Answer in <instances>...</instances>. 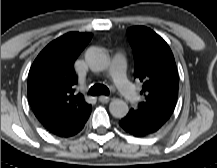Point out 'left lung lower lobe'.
Listing matches in <instances>:
<instances>
[{
  "mask_svg": "<svg viewBox=\"0 0 217 168\" xmlns=\"http://www.w3.org/2000/svg\"><path fill=\"white\" fill-rule=\"evenodd\" d=\"M120 126L135 137H144L157 132L164 124L139 117L132 111L120 120Z\"/></svg>",
  "mask_w": 217,
  "mask_h": 168,
  "instance_id": "0a47b994",
  "label": "left lung lower lobe"
}]
</instances>
